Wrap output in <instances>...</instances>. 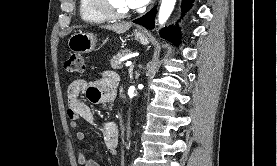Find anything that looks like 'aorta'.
I'll return each mask as SVG.
<instances>
[{
  "mask_svg": "<svg viewBox=\"0 0 277 166\" xmlns=\"http://www.w3.org/2000/svg\"><path fill=\"white\" fill-rule=\"evenodd\" d=\"M175 3L176 0H162L158 15L160 25H163L168 20L174 9Z\"/></svg>",
  "mask_w": 277,
  "mask_h": 166,
  "instance_id": "762f6f07",
  "label": "aorta"
}]
</instances>
